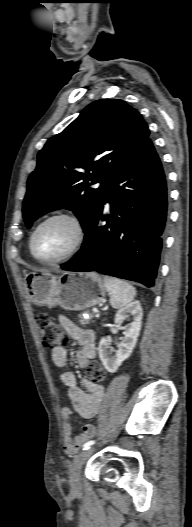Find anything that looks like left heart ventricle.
I'll use <instances>...</instances> for the list:
<instances>
[{
  "mask_svg": "<svg viewBox=\"0 0 192 527\" xmlns=\"http://www.w3.org/2000/svg\"><path fill=\"white\" fill-rule=\"evenodd\" d=\"M75 236V227L69 220L63 218L51 220L37 234L36 253L44 259L58 257L69 250Z\"/></svg>",
  "mask_w": 192,
  "mask_h": 527,
  "instance_id": "obj_1",
  "label": "left heart ventricle"
}]
</instances>
